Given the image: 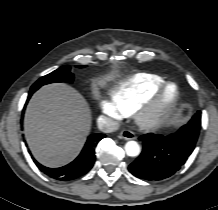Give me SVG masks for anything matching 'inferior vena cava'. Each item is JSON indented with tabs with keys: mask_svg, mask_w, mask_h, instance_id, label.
<instances>
[{
	"mask_svg": "<svg viewBox=\"0 0 218 210\" xmlns=\"http://www.w3.org/2000/svg\"><path fill=\"white\" fill-rule=\"evenodd\" d=\"M98 128L104 133H112L119 129V123L106 116H100L97 120Z\"/></svg>",
	"mask_w": 218,
	"mask_h": 210,
	"instance_id": "1",
	"label": "inferior vena cava"
}]
</instances>
